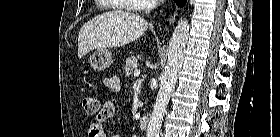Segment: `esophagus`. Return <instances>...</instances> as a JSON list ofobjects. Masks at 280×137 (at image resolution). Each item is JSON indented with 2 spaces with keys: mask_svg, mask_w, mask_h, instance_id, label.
Returning a JSON list of instances; mask_svg holds the SVG:
<instances>
[{
  "mask_svg": "<svg viewBox=\"0 0 280 137\" xmlns=\"http://www.w3.org/2000/svg\"><path fill=\"white\" fill-rule=\"evenodd\" d=\"M177 15H178V9H176L175 13H174L173 16L170 18L169 24H172V23L175 21Z\"/></svg>",
  "mask_w": 280,
  "mask_h": 137,
  "instance_id": "1",
  "label": "esophagus"
}]
</instances>
